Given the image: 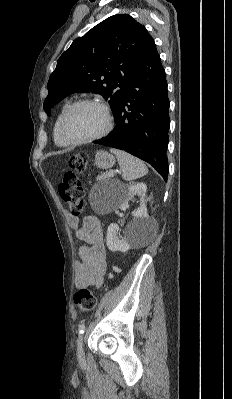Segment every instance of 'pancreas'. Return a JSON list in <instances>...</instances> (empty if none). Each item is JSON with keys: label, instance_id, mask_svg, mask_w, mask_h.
Returning <instances> with one entry per match:
<instances>
[{"label": "pancreas", "instance_id": "obj_1", "mask_svg": "<svg viewBox=\"0 0 232 399\" xmlns=\"http://www.w3.org/2000/svg\"><path fill=\"white\" fill-rule=\"evenodd\" d=\"M107 178H113L109 175V172H101V176H97V180H107Z\"/></svg>", "mask_w": 232, "mask_h": 399}]
</instances>
